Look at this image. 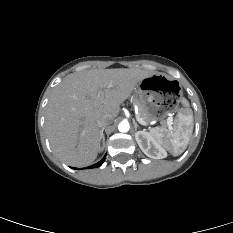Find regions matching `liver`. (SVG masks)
<instances>
[{
	"label": "liver",
	"mask_w": 233,
	"mask_h": 233,
	"mask_svg": "<svg viewBox=\"0 0 233 233\" xmlns=\"http://www.w3.org/2000/svg\"><path fill=\"white\" fill-rule=\"evenodd\" d=\"M150 74L119 68L66 76L53 89L46 107L45 127L54 153L70 166L91 164L102 139L98 120L105 117L113 123L120 105Z\"/></svg>",
	"instance_id": "6515ba94"
}]
</instances>
